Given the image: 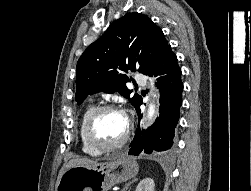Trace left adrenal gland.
<instances>
[{"mask_svg":"<svg viewBox=\"0 0 251 191\" xmlns=\"http://www.w3.org/2000/svg\"><path fill=\"white\" fill-rule=\"evenodd\" d=\"M134 181H137V177H134V179H132V181H129V183H126L124 189H122V191H126V189H128V187H130L131 183H134Z\"/></svg>","mask_w":251,"mask_h":191,"instance_id":"obj_1","label":"left adrenal gland"}]
</instances>
